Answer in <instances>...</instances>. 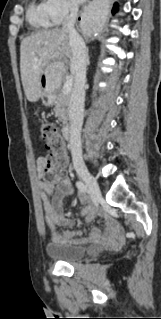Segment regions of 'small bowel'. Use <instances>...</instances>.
I'll return each instance as SVG.
<instances>
[{"mask_svg": "<svg viewBox=\"0 0 161 319\" xmlns=\"http://www.w3.org/2000/svg\"><path fill=\"white\" fill-rule=\"evenodd\" d=\"M45 161L46 159L44 157L38 158V167L42 168L45 165ZM40 187L43 191L41 200L45 214V220L49 228L54 230L56 226H69L71 222L62 215V209L65 198L74 194V189L70 181L67 178H63L58 181L57 185H55L54 183L42 180L41 178ZM49 196L53 197V201L49 199ZM81 201L83 203H87L88 198L84 195H81ZM81 213L86 216V223L89 225L96 218L104 216L105 209L103 207H85L81 210ZM104 224L105 238H108L112 241H117L120 232V226L118 222L113 218H105ZM52 237L54 240L60 242L80 244L87 241L100 240L101 232L99 229L93 228L91 229L88 238L83 237L81 231L63 232L62 234L53 233Z\"/></svg>", "mask_w": 161, "mask_h": 319, "instance_id": "obj_1", "label": "small bowel"}]
</instances>
